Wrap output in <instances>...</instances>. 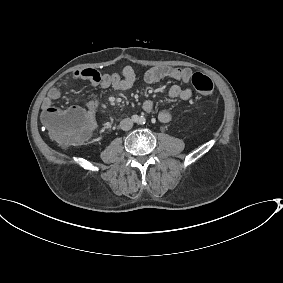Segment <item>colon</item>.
<instances>
[{
	"label": "colon",
	"instance_id": "1",
	"mask_svg": "<svg viewBox=\"0 0 283 283\" xmlns=\"http://www.w3.org/2000/svg\"><path fill=\"white\" fill-rule=\"evenodd\" d=\"M191 82L201 94L208 95L213 90L211 79L202 73L193 74ZM42 120L55 140L69 145L83 143L90 137L93 130L92 118L78 108L64 111L49 109L43 114Z\"/></svg>",
	"mask_w": 283,
	"mask_h": 283
}]
</instances>
